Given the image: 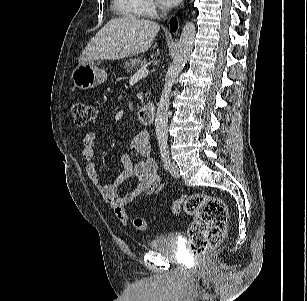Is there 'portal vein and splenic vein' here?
Listing matches in <instances>:
<instances>
[{
	"mask_svg": "<svg viewBox=\"0 0 307 301\" xmlns=\"http://www.w3.org/2000/svg\"><path fill=\"white\" fill-rule=\"evenodd\" d=\"M149 74V70L143 66L139 68L136 73L131 77V80H138L146 77Z\"/></svg>",
	"mask_w": 307,
	"mask_h": 301,
	"instance_id": "18ae733b",
	"label": "portal vein and splenic vein"
}]
</instances>
